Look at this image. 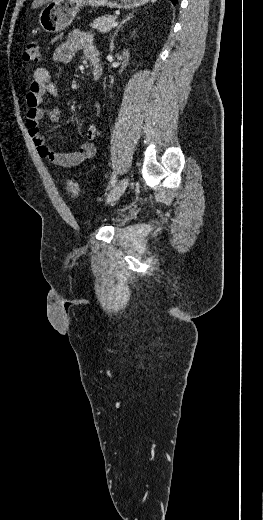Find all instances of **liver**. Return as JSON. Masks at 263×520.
Instances as JSON below:
<instances>
[{"mask_svg": "<svg viewBox=\"0 0 263 520\" xmlns=\"http://www.w3.org/2000/svg\"><path fill=\"white\" fill-rule=\"evenodd\" d=\"M51 1H59V0H34L33 3H32V8L33 9H36L44 4H47Z\"/></svg>", "mask_w": 263, "mask_h": 520, "instance_id": "1", "label": "liver"}]
</instances>
